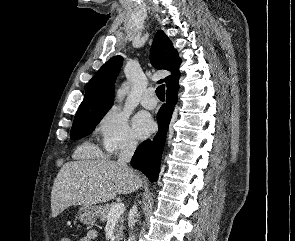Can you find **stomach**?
<instances>
[{"instance_id": "1", "label": "stomach", "mask_w": 295, "mask_h": 241, "mask_svg": "<svg viewBox=\"0 0 295 241\" xmlns=\"http://www.w3.org/2000/svg\"><path fill=\"white\" fill-rule=\"evenodd\" d=\"M102 206L100 205H84L78 211V216L83 224L89 225L100 217Z\"/></svg>"}]
</instances>
